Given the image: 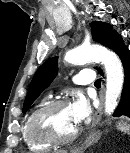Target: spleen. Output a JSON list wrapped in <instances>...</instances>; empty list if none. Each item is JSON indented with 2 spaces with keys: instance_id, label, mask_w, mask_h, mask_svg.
Segmentation results:
<instances>
[{
  "instance_id": "1",
  "label": "spleen",
  "mask_w": 130,
  "mask_h": 153,
  "mask_svg": "<svg viewBox=\"0 0 130 153\" xmlns=\"http://www.w3.org/2000/svg\"><path fill=\"white\" fill-rule=\"evenodd\" d=\"M118 129L120 130V131H122V132H129V130H130V125H127L126 123H119L118 124Z\"/></svg>"
}]
</instances>
